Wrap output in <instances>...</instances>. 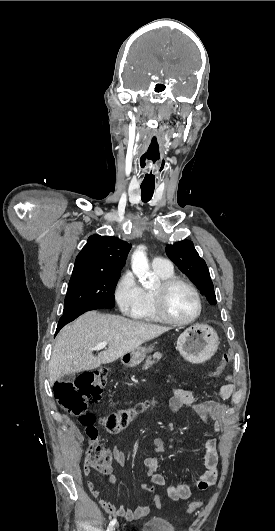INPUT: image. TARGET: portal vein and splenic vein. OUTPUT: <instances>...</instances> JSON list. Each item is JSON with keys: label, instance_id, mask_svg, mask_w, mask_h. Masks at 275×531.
I'll list each match as a JSON object with an SVG mask.
<instances>
[{"label": "portal vein and splenic vein", "instance_id": "obj_1", "mask_svg": "<svg viewBox=\"0 0 275 531\" xmlns=\"http://www.w3.org/2000/svg\"><path fill=\"white\" fill-rule=\"evenodd\" d=\"M107 347V341H103V343H98L96 347H93V349H89V351H101V349H106Z\"/></svg>", "mask_w": 275, "mask_h": 531}]
</instances>
